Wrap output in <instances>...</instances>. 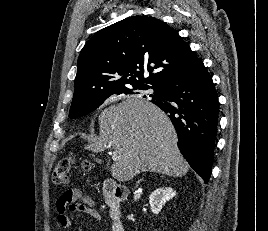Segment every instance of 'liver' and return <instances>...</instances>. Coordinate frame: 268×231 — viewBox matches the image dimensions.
Here are the masks:
<instances>
[{
    "label": "liver",
    "instance_id": "6515ba94",
    "mask_svg": "<svg viewBox=\"0 0 268 231\" xmlns=\"http://www.w3.org/2000/svg\"><path fill=\"white\" fill-rule=\"evenodd\" d=\"M99 138L86 146L101 152L113 148L110 170L119 182L131 180L141 172L151 171L182 177L189 165L177 147V135L166 114L155 104L138 97H128L105 108L99 115ZM110 159L107 161L109 168Z\"/></svg>",
    "mask_w": 268,
    "mask_h": 231
}]
</instances>
